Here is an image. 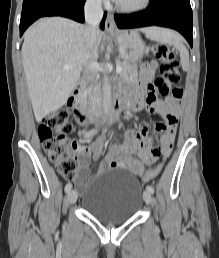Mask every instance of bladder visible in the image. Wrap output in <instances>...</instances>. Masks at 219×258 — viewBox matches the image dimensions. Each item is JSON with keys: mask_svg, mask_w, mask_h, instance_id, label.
I'll return each mask as SVG.
<instances>
[{"mask_svg": "<svg viewBox=\"0 0 219 258\" xmlns=\"http://www.w3.org/2000/svg\"><path fill=\"white\" fill-rule=\"evenodd\" d=\"M138 179L120 169L94 175L82 196L83 209L104 224L115 226L131 220L142 206Z\"/></svg>", "mask_w": 219, "mask_h": 258, "instance_id": "bladder-1", "label": "bladder"}]
</instances>
